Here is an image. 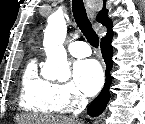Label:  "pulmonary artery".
<instances>
[{
    "instance_id": "pulmonary-artery-1",
    "label": "pulmonary artery",
    "mask_w": 145,
    "mask_h": 124,
    "mask_svg": "<svg viewBox=\"0 0 145 124\" xmlns=\"http://www.w3.org/2000/svg\"><path fill=\"white\" fill-rule=\"evenodd\" d=\"M68 50L74 57L82 58L91 55V49L86 42L75 41L69 44Z\"/></svg>"
}]
</instances>
